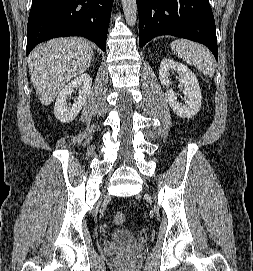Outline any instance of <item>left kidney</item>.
<instances>
[{
	"mask_svg": "<svg viewBox=\"0 0 253 271\" xmlns=\"http://www.w3.org/2000/svg\"><path fill=\"white\" fill-rule=\"evenodd\" d=\"M170 71H176L179 74V82L184 87L186 96L185 103L177 101L176 93L173 89H168L165 98L176 113L181 118H192L201 108V90L198 80L194 73L185 65L172 59L165 58L160 63L159 78L163 85L170 86Z\"/></svg>",
	"mask_w": 253,
	"mask_h": 271,
	"instance_id": "1",
	"label": "left kidney"
}]
</instances>
